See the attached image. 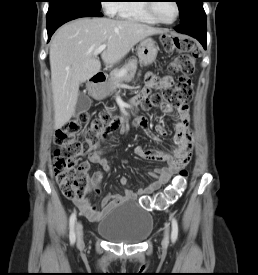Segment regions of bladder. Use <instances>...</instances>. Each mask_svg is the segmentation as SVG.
I'll list each match as a JSON object with an SVG mask.
<instances>
[{"mask_svg":"<svg viewBox=\"0 0 258 275\" xmlns=\"http://www.w3.org/2000/svg\"><path fill=\"white\" fill-rule=\"evenodd\" d=\"M153 229V217L130 202L106 213L97 224V233L110 242L136 244L145 241Z\"/></svg>","mask_w":258,"mask_h":275,"instance_id":"obj_1","label":"bladder"}]
</instances>
